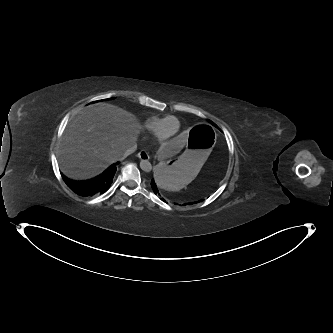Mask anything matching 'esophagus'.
Masks as SVG:
<instances>
[{
	"mask_svg": "<svg viewBox=\"0 0 333 333\" xmlns=\"http://www.w3.org/2000/svg\"><path fill=\"white\" fill-rule=\"evenodd\" d=\"M137 156L143 161H147L149 159V155L145 149H142Z\"/></svg>",
	"mask_w": 333,
	"mask_h": 333,
	"instance_id": "esophagus-1",
	"label": "esophagus"
}]
</instances>
